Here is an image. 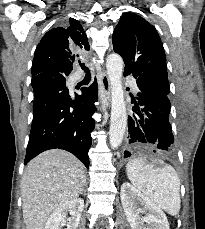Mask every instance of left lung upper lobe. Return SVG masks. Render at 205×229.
<instances>
[{"label":"left lung upper lobe","instance_id":"5c2ea615","mask_svg":"<svg viewBox=\"0 0 205 229\" xmlns=\"http://www.w3.org/2000/svg\"><path fill=\"white\" fill-rule=\"evenodd\" d=\"M113 49L122 56L125 73L169 94L163 44L150 23L136 14L125 13L113 32Z\"/></svg>","mask_w":205,"mask_h":229}]
</instances>
